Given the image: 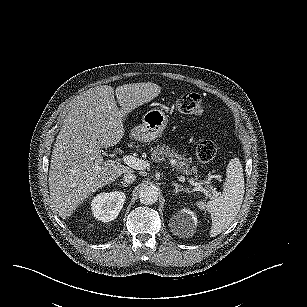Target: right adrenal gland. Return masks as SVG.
Segmentation results:
<instances>
[{
  "label": "right adrenal gland",
  "mask_w": 307,
  "mask_h": 307,
  "mask_svg": "<svg viewBox=\"0 0 307 307\" xmlns=\"http://www.w3.org/2000/svg\"><path fill=\"white\" fill-rule=\"evenodd\" d=\"M121 184H122L123 187H128V186H129L128 184H126V183L123 182V181H121Z\"/></svg>",
  "instance_id": "right-adrenal-gland-1"
}]
</instances>
